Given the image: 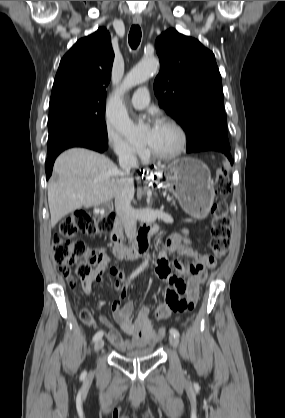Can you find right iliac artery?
I'll use <instances>...</instances> for the list:
<instances>
[{
    "instance_id": "1",
    "label": "right iliac artery",
    "mask_w": 285,
    "mask_h": 418,
    "mask_svg": "<svg viewBox=\"0 0 285 418\" xmlns=\"http://www.w3.org/2000/svg\"><path fill=\"white\" fill-rule=\"evenodd\" d=\"M139 273V270H136V271H134L132 274H131V276L129 277V281L131 280V279H133L137 274ZM102 336H103V332L102 331H98L95 335H94V337H93V341H97L98 339H100V338H102Z\"/></svg>"
}]
</instances>
